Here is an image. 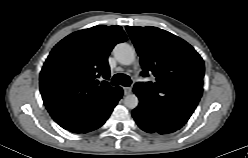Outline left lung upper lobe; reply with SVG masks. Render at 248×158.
Masks as SVG:
<instances>
[{
	"instance_id": "obj_1",
	"label": "left lung upper lobe",
	"mask_w": 248,
	"mask_h": 158,
	"mask_svg": "<svg viewBox=\"0 0 248 158\" xmlns=\"http://www.w3.org/2000/svg\"><path fill=\"white\" fill-rule=\"evenodd\" d=\"M143 71L154 82L136 83L134 93L140 103L170 122L183 126L203 92L204 61L183 39L157 27L126 26Z\"/></svg>"
}]
</instances>
